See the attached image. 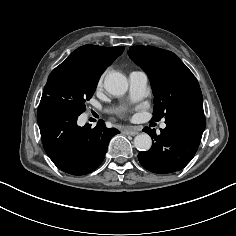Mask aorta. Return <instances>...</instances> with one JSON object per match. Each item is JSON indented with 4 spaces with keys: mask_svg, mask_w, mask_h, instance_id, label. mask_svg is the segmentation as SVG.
Segmentation results:
<instances>
[{
    "mask_svg": "<svg viewBox=\"0 0 236 236\" xmlns=\"http://www.w3.org/2000/svg\"><path fill=\"white\" fill-rule=\"evenodd\" d=\"M106 91L114 96H122L128 90L127 78L120 72H111L104 79ZM134 145L139 151H148L152 145V139L147 133H142L134 138Z\"/></svg>",
    "mask_w": 236,
    "mask_h": 236,
    "instance_id": "aorta-1",
    "label": "aorta"
}]
</instances>
